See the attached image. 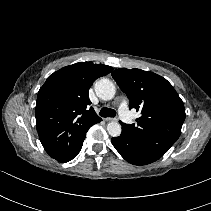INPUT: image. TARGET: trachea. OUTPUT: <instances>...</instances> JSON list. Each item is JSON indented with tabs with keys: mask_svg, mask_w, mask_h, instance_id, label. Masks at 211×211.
I'll return each instance as SVG.
<instances>
[{
	"mask_svg": "<svg viewBox=\"0 0 211 211\" xmlns=\"http://www.w3.org/2000/svg\"><path fill=\"white\" fill-rule=\"evenodd\" d=\"M99 114H100L101 117H115L116 116V111L114 109L103 107L100 110Z\"/></svg>",
	"mask_w": 211,
	"mask_h": 211,
	"instance_id": "trachea-1",
	"label": "trachea"
}]
</instances>
